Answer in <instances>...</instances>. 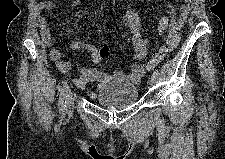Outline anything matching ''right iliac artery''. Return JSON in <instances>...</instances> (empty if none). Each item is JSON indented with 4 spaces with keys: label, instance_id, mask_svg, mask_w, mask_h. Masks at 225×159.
Here are the masks:
<instances>
[{
    "label": "right iliac artery",
    "instance_id": "obj_1",
    "mask_svg": "<svg viewBox=\"0 0 225 159\" xmlns=\"http://www.w3.org/2000/svg\"><path fill=\"white\" fill-rule=\"evenodd\" d=\"M69 87L68 85H65L60 92V97H59V102H58V108L60 113L64 114L65 112V107H66V97L68 93Z\"/></svg>",
    "mask_w": 225,
    "mask_h": 159
}]
</instances>
